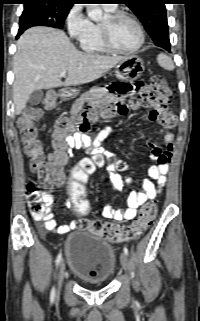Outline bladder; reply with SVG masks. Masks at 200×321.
<instances>
[{
    "label": "bladder",
    "instance_id": "1",
    "mask_svg": "<svg viewBox=\"0 0 200 321\" xmlns=\"http://www.w3.org/2000/svg\"><path fill=\"white\" fill-rule=\"evenodd\" d=\"M64 249L69 269L82 281L104 284L112 278L116 254L105 239L87 231H75L67 236Z\"/></svg>",
    "mask_w": 200,
    "mask_h": 321
}]
</instances>
